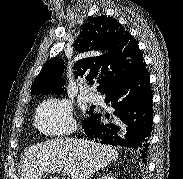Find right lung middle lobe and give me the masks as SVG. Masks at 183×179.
<instances>
[{"instance_id": "obj_1", "label": "right lung middle lobe", "mask_w": 183, "mask_h": 179, "mask_svg": "<svg viewBox=\"0 0 183 179\" xmlns=\"http://www.w3.org/2000/svg\"><path fill=\"white\" fill-rule=\"evenodd\" d=\"M88 113H89V116H90L92 114V111H89Z\"/></svg>"}]
</instances>
